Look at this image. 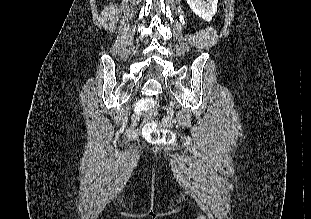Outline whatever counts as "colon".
Here are the masks:
<instances>
[{
    "label": "colon",
    "instance_id": "1",
    "mask_svg": "<svg viewBox=\"0 0 311 219\" xmlns=\"http://www.w3.org/2000/svg\"><path fill=\"white\" fill-rule=\"evenodd\" d=\"M157 109V103L152 98H145L137 104V113L139 115H146V122L142 130L143 136L153 144H172L176 139L175 134L172 130L161 127L158 124L155 118Z\"/></svg>",
    "mask_w": 311,
    "mask_h": 219
}]
</instances>
